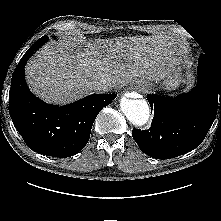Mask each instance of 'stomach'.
Listing matches in <instances>:
<instances>
[{"mask_svg":"<svg viewBox=\"0 0 221 221\" xmlns=\"http://www.w3.org/2000/svg\"><path fill=\"white\" fill-rule=\"evenodd\" d=\"M160 81H161L162 88H164L165 90H168V91L175 90L176 88H178V86L180 84L179 74L177 72L173 71V72L169 73L168 75H166L161 80H159L158 83ZM133 82L139 88L150 87V85H151L149 80L143 79V78L135 79Z\"/></svg>","mask_w":221,"mask_h":221,"instance_id":"1","label":"stomach"}]
</instances>
